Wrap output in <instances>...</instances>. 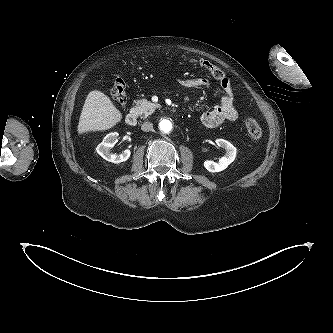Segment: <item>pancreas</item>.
<instances>
[{"instance_id":"obj_1","label":"pancreas","mask_w":333,"mask_h":333,"mask_svg":"<svg viewBox=\"0 0 333 333\" xmlns=\"http://www.w3.org/2000/svg\"><path fill=\"white\" fill-rule=\"evenodd\" d=\"M158 107V104L151 103L146 99L136 101V111L141 118H147Z\"/></svg>"}]
</instances>
